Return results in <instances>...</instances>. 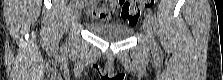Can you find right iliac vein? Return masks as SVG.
Listing matches in <instances>:
<instances>
[{
  "label": "right iliac vein",
  "mask_w": 223,
  "mask_h": 80,
  "mask_svg": "<svg viewBox=\"0 0 223 80\" xmlns=\"http://www.w3.org/2000/svg\"><path fill=\"white\" fill-rule=\"evenodd\" d=\"M81 15V6L76 5L73 12V19L77 21L80 18Z\"/></svg>",
  "instance_id": "63e3f726"
}]
</instances>
